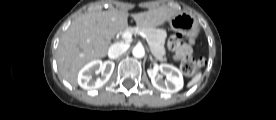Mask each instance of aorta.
Listing matches in <instances>:
<instances>
[{
  "instance_id": "762f6f07",
  "label": "aorta",
  "mask_w": 276,
  "mask_h": 120,
  "mask_svg": "<svg viewBox=\"0 0 276 120\" xmlns=\"http://www.w3.org/2000/svg\"><path fill=\"white\" fill-rule=\"evenodd\" d=\"M132 54L136 58H143L145 55L144 47L142 45H136L132 50Z\"/></svg>"
}]
</instances>
